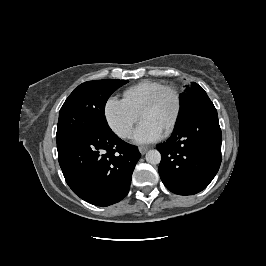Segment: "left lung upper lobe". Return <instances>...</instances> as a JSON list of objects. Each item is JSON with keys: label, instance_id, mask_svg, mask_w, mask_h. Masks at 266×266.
Segmentation results:
<instances>
[{"label": "left lung upper lobe", "instance_id": "left-lung-upper-lobe-1", "mask_svg": "<svg viewBox=\"0 0 266 266\" xmlns=\"http://www.w3.org/2000/svg\"><path fill=\"white\" fill-rule=\"evenodd\" d=\"M180 100L182 108L178 123L197 107L211 101L204 89L195 82L190 86H186L185 91L180 95Z\"/></svg>", "mask_w": 266, "mask_h": 266}]
</instances>
